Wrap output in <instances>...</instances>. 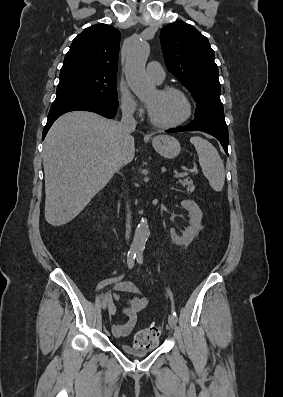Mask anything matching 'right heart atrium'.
Wrapping results in <instances>:
<instances>
[{"label": "right heart atrium", "instance_id": "obj_1", "mask_svg": "<svg viewBox=\"0 0 283 397\" xmlns=\"http://www.w3.org/2000/svg\"><path fill=\"white\" fill-rule=\"evenodd\" d=\"M119 102L120 107L124 115L128 117L140 116L143 113V109L132 95L130 90L122 86L119 91Z\"/></svg>", "mask_w": 283, "mask_h": 397}]
</instances>
